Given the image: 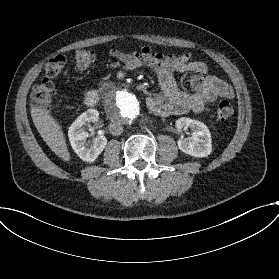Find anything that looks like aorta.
<instances>
[{"mask_svg":"<svg viewBox=\"0 0 279 279\" xmlns=\"http://www.w3.org/2000/svg\"><path fill=\"white\" fill-rule=\"evenodd\" d=\"M106 111L112 121L128 124L138 117L140 101L127 90L116 91L109 95L106 102Z\"/></svg>","mask_w":279,"mask_h":279,"instance_id":"aorta-1","label":"aorta"}]
</instances>
